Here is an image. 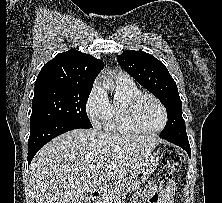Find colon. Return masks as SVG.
I'll use <instances>...</instances> for the list:
<instances>
[{"label":"colon","mask_w":222,"mask_h":203,"mask_svg":"<svg viewBox=\"0 0 222 203\" xmlns=\"http://www.w3.org/2000/svg\"><path fill=\"white\" fill-rule=\"evenodd\" d=\"M182 155L173 148L168 147L164 150L162 155V163L164 165L165 177L171 179L173 175L181 168Z\"/></svg>","instance_id":"1"}]
</instances>
